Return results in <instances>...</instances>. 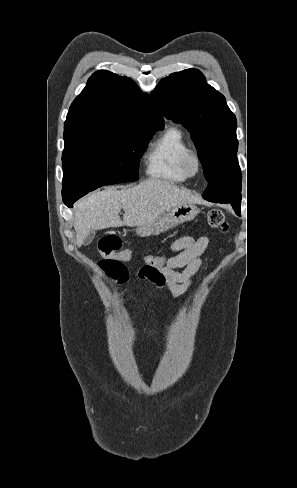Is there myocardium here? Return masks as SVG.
Listing matches in <instances>:
<instances>
[{
    "label": "myocardium",
    "instance_id": "myocardium-1",
    "mask_svg": "<svg viewBox=\"0 0 297 488\" xmlns=\"http://www.w3.org/2000/svg\"><path fill=\"white\" fill-rule=\"evenodd\" d=\"M181 164L188 178L196 177L202 170V159L195 149H189L184 154Z\"/></svg>",
    "mask_w": 297,
    "mask_h": 488
}]
</instances>
